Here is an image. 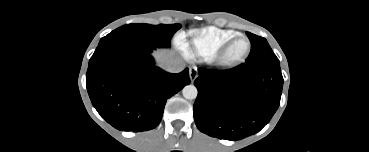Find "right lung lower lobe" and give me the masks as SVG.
<instances>
[{
    "label": "right lung lower lobe",
    "mask_w": 369,
    "mask_h": 152,
    "mask_svg": "<svg viewBox=\"0 0 369 152\" xmlns=\"http://www.w3.org/2000/svg\"><path fill=\"white\" fill-rule=\"evenodd\" d=\"M157 46L134 38L100 42L89 60L86 86L94 108L121 131H147L161 121L168 98L190 83L154 66Z\"/></svg>",
    "instance_id": "1"
}]
</instances>
